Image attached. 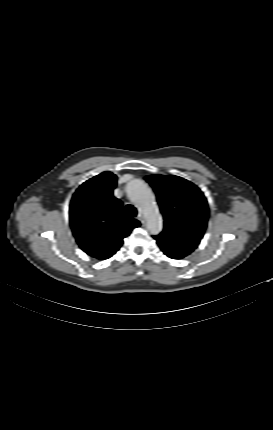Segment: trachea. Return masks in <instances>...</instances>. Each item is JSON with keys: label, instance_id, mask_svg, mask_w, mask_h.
Segmentation results:
<instances>
[{"label": "trachea", "instance_id": "1", "mask_svg": "<svg viewBox=\"0 0 273 430\" xmlns=\"http://www.w3.org/2000/svg\"><path fill=\"white\" fill-rule=\"evenodd\" d=\"M137 215V209L132 205H127L125 208V217L133 218Z\"/></svg>", "mask_w": 273, "mask_h": 430}]
</instances>
